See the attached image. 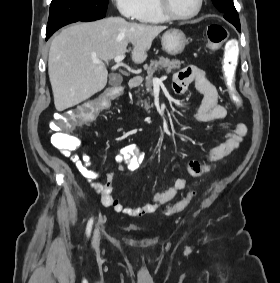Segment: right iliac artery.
<instances>
[{
	"label": "right iliac artery",
	"instance_id": "right-iliac-artery-1",
	"mask_svg": "<svg viewBox=\"0 0 280 283\" xmlns=\"http://www.w3.org/2000/svg\"><path fill=\"white\" fill-rule=\"evenodd\" d=\"M92 223H93V220L90 219V221L88 222V225H87V235H89L90 232H91Z\"/></svg>",
	"mask_w": 280,
	"mask_h": 283
}]
</instances>
